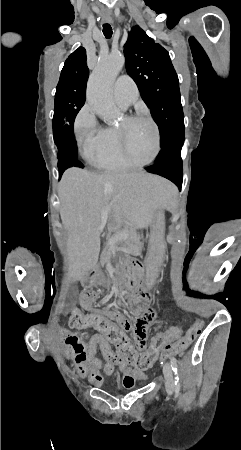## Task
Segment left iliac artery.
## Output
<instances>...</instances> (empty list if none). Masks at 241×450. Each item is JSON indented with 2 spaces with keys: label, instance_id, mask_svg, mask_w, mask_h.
Listing matches in <instances>:
<instances>
[{
  "label": "left iliac artery",
  "instance_id": "obj_1",
  "mask_svg": "<svg viewBox=\"0 0 241 450\" xmlns=\"http://www.w3.org/2000/svg\"><path fill=\"white\" fill-rule=\"evenodd\" d=\"M170 363H171L172 370L175 373V392L178 393L181 389V384H180V379L178 376V367H177L176 359L174 357H171Z\"/></svg>",
  "mask_w": 241,
  "mask_h": 450
}]
</instances>
